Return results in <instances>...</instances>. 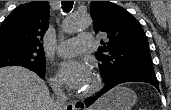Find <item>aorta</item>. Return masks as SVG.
Here are the masks:
<instances>
[{"instance_id":"1","label":"aorta","mask_w":171,"mask_h":110,"mask_svg":"<svg viewBox=\"0 0 171 110\" xmlns=\"http://www.w3.org/2000/svg\"><path fill=\"white\" fill-rule=\"evenodd\" d=\"M90 25L91 18L89 15L74 13L63 23V29L68 33H74L85 30Z\"/></svg>"}]
</instances>
